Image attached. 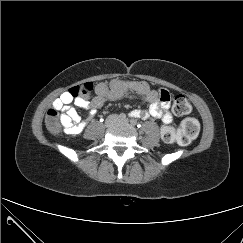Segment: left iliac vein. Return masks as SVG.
<instances>
[{
  "instance_id": "4c4485c4",
  "label": "left iliac vein",
  "mask_w": 243,
  "mask_h": 243,
  "mask_svg": "<svg viewBox=\"0 0 243 243\" xmlns=\"http://www.w3.org/2000/svg\"><path fill=\"white\" fill-rule=\"evenodd\" d=\"M119 122H122V123H128V119H120Z\"/></svg>"
}]
</instances>
